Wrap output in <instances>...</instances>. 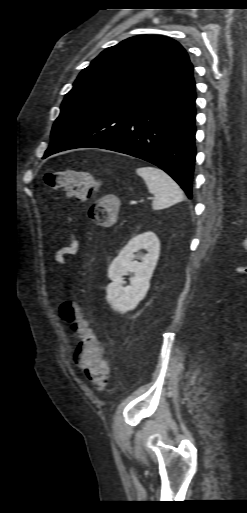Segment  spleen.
I'll list each match as a JSON object with an SVG mask.
<instances>
[{"label": "spleen", "mask_w": 247, "mask_h": 513, "mask_svg": "<svg viewBox=\"0 0 247 513\" xmlns=\"http://www.w3.org/2000/svg\"><path fill=\"white\" fill-rule=\"evenodd\" d=\"M136 173L144 179L149 192L154 194V210L167 208L184 199L178 184L163 170L153 166H142L136 169Z\"/></svg>", "instance_id": "obj_1"}]
</instances>
